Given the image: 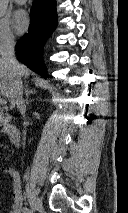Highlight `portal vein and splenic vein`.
Segmentation results:
<instances>
[{
    "label": "portal vein and splenic vein",
    "instance_id": "obj_1",
    "mask_svg": "<svg viewBox=\"0 0 128 213\" xmlns=\"http://www.w3.org/2000/svg\"><path fill=\"white\" fill-rule=\"evenodd\" d=\"M7 103L6 99L0 97V104L5 105Z\"/></svg>",
    "mask_w": 128,
    "mask_h": 213
}]
</instances>
